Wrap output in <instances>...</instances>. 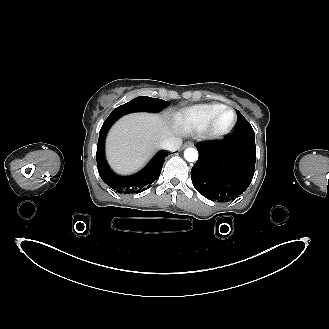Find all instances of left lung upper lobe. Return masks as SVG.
<instances>
[{"mask_svg": "<svg viewBox=\"0 0 329 329\" xmlns=\"http://www.w3.org/2000/svg\"><path fill=\"white\" fill-rule=\"evenodd\" d=\"M237 117H238V122L234 133L254 132L250 123L243 117V115L239 111H237Z\"/></svg>", "mask_w": 329, "mask_h": 329, "instance_id": "1", "label": "left lung upper lobe"}]
</instances>
